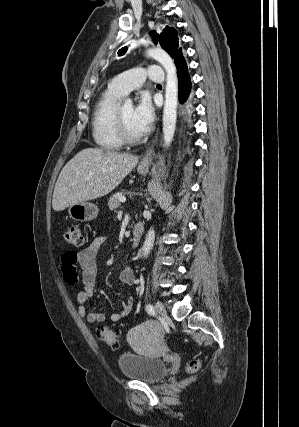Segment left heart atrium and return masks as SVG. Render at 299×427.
Returning a JSON list of instances; mask_svg holds the SVG:
<instances>
[{
    "label": "left heart atrium",
    "mask_w": 299,
    "mask_h": 427,
    "mask_svg": "<svg viewBox=\"0 0 299 427\" xmlns=\"http://www.w3.org/2000/svg\"><path fill=\"white\" fill-rule=\"evenodd\" d=\"M133 120L142 133L150 129L154 121V109L147 97H142L133 109Z\"/></svg>",
    "instance_id": "39dd6f15"
}]
</instances>
